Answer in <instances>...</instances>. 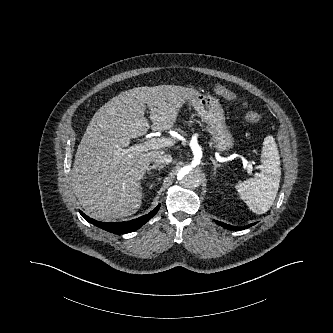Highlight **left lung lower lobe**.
<instances>
[{"instance_id": "0a47b994", "label": "left lung lower lobe", "mask_w": 333, "mask_h": 333, "mask_svg": "<svg viewBox=\"0 0 333 333\" xmlns=\"http://www.w3.org/2000/svg\"><path fill=\"white\" fill-rule=\"evenodd\" d=\"M218 225L224 227V228H227V229H230V230H235V231H238V230H243V229H246L248 227H251L253 226L255 223H252L248 226H245V227H234V226H231V225H227L226 223H223V222H220V221H215Z\"/></svg>"}]
</instances>
